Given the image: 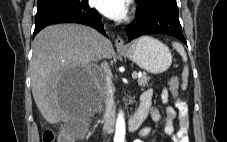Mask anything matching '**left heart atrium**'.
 I'll return each mask as SVG.
<instances>
[{
  "mask_svg": "<svg viewBox=\"0 0 227 142\" xmlns=\"http://www.w3.org/2000/svg\"><path fill=\"white\" fill-rule=\"evenodd\" d=\"M91 2L105 16L119 20L126 16L129 0H91Z\"/></svg>",
  "mask_w": 227,
  "mask_h": 142,
  "instance_id": "obj_1",
  "label": "left heart atrium"
}]
</instances>
